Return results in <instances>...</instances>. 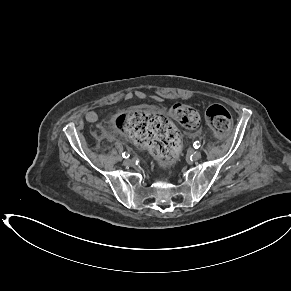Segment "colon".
<instances>
[{
	"label": "colon",
	"mask_w": 291,
	"mask_h": 291,
	"mask_svg": "<svg viewBox=\"0 0 291 291\" xmlns=\"http://www.w3.org/2000/svg\"><path fill=\"white\" fill-rule=\"evenodd\" d=\"M172 116L184 127L193 129L199 125L200 116L191 106L177 103ZM207 124L216 134H223L232 126V116L222 105H210L205 113ZM114 127L136 145L160 156L167 164L173 163L180 151V137L172 122L165 116L146 111H134L114 118Z\"/></svg>",
	"instance_id": "colon-1"
}]
</instances>
